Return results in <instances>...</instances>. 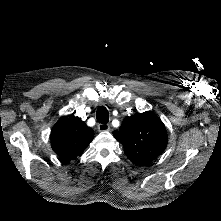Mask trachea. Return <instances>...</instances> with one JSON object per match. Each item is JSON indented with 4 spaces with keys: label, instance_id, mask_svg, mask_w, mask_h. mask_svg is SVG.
Wrapping results in <instances>:
<instances>
[{
    "label": "trachea",
    "instance_id": "3493384b",
    "mask_svg": "<svg viewBox=\"0 0 221 221\" xmlns=\"http://www.w3.org/2000/svg\"><path fill=\"white\" fill-rule=\"evenodd\" d=\"M96 119L99 123L105 124L109 121V113L106 107L100 106L96 111Z\"/></svg>",
    "mask_w": 221,
    "mask_h": 221
}]
</instances>
